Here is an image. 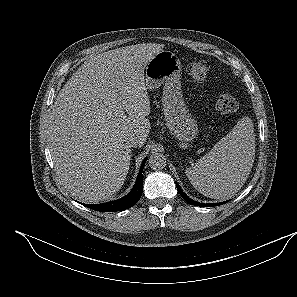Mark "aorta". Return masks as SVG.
Instances as JSON below:
<instances>
[{
	"mask_svg": "<svg viewBox=\"0 0 297 297\" xmlns=\"http://www.w3.org/2000/svg\"><path fill=\"white\" fill-rule=\"evenodd\" d=\"M148 164L153 170H161L166 166V158L161 153H153L148 159Z\"/></svg>",
	"mask_w": 297,
	"mask_h": 297,
	"instance_id": "obj_1",
	"label": "aorta"
}]
</instances>
